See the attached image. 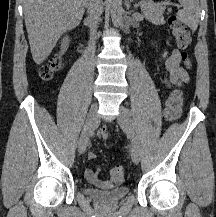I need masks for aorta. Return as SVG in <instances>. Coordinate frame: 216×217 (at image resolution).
Here are the masks:
<instances>
[{"instance_id":"obj_1","label":"aorta","mask_w":216,"mask_h":217,"mask_svg":"<svg viewBox=\"0 0 216 217\" xmlns=\"http://www.w3.org/2000/svg\"><path fill=\"white\" fill-rule=\"evenodd\" d=\"M110 1V15L115 27H118L122 23V0H109Z\"/></svg>"}]
</instances>
